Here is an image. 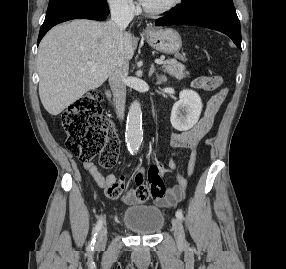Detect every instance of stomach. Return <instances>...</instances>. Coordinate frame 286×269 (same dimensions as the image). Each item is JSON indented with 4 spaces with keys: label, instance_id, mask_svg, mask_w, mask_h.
Instances as JSON below:
<instances>
[{
    "label": "stomach",
    "instance_id": "obj_1",
    "mask_svg": "<svg viewBox=\"0 0 286 269\" xmlns=\"http://www.w3.org/2000/svg\"><path fill=\"white\" fill-rule=\"evenodd\" d=\"M146 37L151 47L166 54H177L182 45L179 33L172 28L151 29Z\"/></svg>",
    "mask_w": 286,
    "mask_h": 269
}]
</instances>
